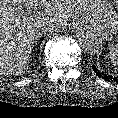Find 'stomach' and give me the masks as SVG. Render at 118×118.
Returning a JSON list of instances; mask_svg holds the SVG:
<instances>
[{
    "mask_svg": "<svg viewBox=\"0 0 118 118\" xmlns=\"http://www.w3.org/2000/svg\"><path fill=\"white\" fill-rule=\"evenodd\" d=\"M82 23L93 29L103 40H112L118 31V16L111 4L102 2L90 17H84Z\"/></svg>",
    "mask_w": 118,
    "mask_h": 118,
    "instance_id": "stomach-1",
    "label": "stomach"
}]
</instances>
